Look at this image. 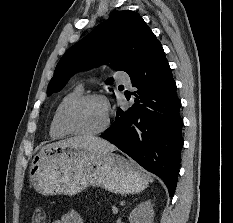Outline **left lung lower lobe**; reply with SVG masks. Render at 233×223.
Returning a JSON list of instances; mask_svg holds the SVG:
<instances>
[{"mask_svg": "<svg viewBox=\"0 0 233 223\" xmlns=\"http://www.w3.org/2000/svg\"><path fill=\"white\" fill-rule=\"evenodd\" d=\"M129 76L137 88L136 103L127 111L119 109L115 122L101 137L159 176L172 197L183 147V121L176 83L158 40Z\"/></svg>", "mask_w": 233, "mask_h": 223, "instance_id": "0a47b994", "label": "left lung lower lobe"}]
</instances>
